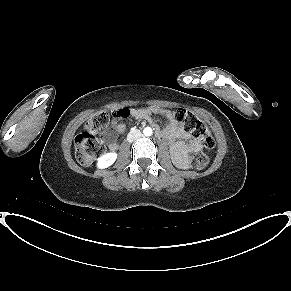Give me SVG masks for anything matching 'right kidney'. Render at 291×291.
Wrapping results in <instances>:
<instances>
[{"label": "right kidney", "mask_w": 291, "mask_h": 291, "mask_svg": "<svg viewBox=\"0 0 291 291\" xmlns=\"http://www.w3.org/2000/svg\"><path fill=\"white\" fill-rule=\"evenodd\" d=\"M117 159V153L110 152L102 155L99 157L97 162V167L99 169H105L109 166H111Z\"/></svg>", "instance_id": "right-kidney-1"}]
</instances>
